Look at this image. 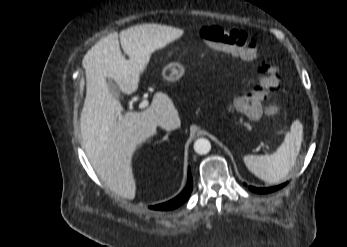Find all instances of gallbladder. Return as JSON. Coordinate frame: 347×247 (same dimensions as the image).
<instances>
[{"mask_svg": "<svg viewBox=\"0 0 347 247\" xmlns=\"http://www.w3.org/2000/svg\"><path fill=\"white\" fill-rule=\"evenodd\" d=\"M107 82H108V87H109L110 92H111L114 96L118 97V95H119V89H118L116 83H115L113 80H111V79H107Z\"/></svg>", "mask_w": 347, "mask_h": 247, "instance_id": "gallbladder-1", "label": "gallbladder"}]
</instances>
